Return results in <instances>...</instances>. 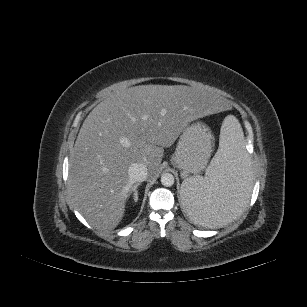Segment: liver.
Listing matches in <instances>:
<instances>
[{"mask_svg":"<svg viewBox=\"0 0 307 307\" xmlns=\"http://www.w3.org/2000/svg\"><path fill=\"white\" fill-rule=\"evenodd\" d=\"M217 94L184 85H140L112 93L84 120L69 162L68 186L77 210L95 228L121 222L138 162L156 174L164 148L193 120L226 112Z\"/></svg>","mask_w":307,"mask_h":307,"instance_id":"1","label":"liver"}]
</instances>
